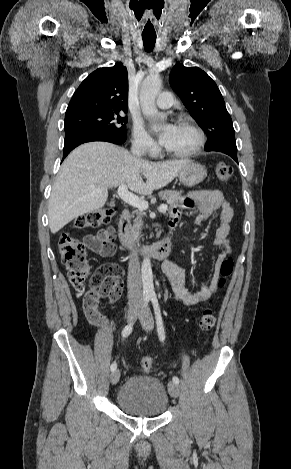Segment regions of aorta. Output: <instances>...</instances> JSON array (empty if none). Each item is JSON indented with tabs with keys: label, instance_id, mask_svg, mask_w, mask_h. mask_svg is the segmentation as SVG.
Listing matches in <instances>:
<instances>
[{
	"label": "aorta",
	"instance_id": "762f6f07",
	"mask_svg": "<svg viewBox=\"0 0 291 469\" xmlns=\"http://www.w3.org/2000/svg\"><path fill=\"white\" fill-rule=\"evenodd\" d=\"M162 80L158 74L150 75L145 78L140 90V104L142 113L147 118H160L165 119L166 115L159 113L155 99L161 89ZM141 278L143 285V292L145 294H154L152 266L149 258H144L141 265Z\"/></svg>",
	"mask_w": 291,
	"mask_h": 469
}]
</instances>
